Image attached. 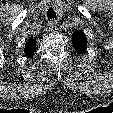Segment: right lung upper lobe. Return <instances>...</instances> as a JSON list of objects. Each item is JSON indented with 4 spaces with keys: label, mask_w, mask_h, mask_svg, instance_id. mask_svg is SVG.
Masks as SVG:
<instances>
[{
    "label": "right lung upper lobe",
    "mask_w": 113,
    "mask_h": 113,
    "mask_svg": "<svg viewBox=\"0 0 113 113\" xmlns=\"http://www.w3.org/2000/svg\"><path fill=\"white\" fill-rule=\"evenodd\" d=\"M35 47H36L35 40L28 41L25 44V48H24V52H25L26 56L32 57L34 55V52H35Z\"/></svg>",
    "instance_id": "obj_1"
}]
</instances>
